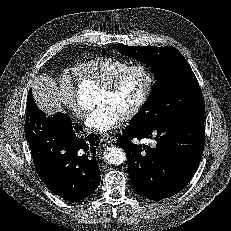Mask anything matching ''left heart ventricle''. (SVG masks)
<instances>
[{
	"instance_id": "1",
	"label": "left heart ventricle",
	"mask_w": 231,
	"mask_h": 231,
	"mask_svg": "<svg viewBox=\"0 0 231 231\" xmlns=\"http://www.w3.org/2000/svg\"><path fill=\"white\" fill-rule=\"evenodd\" d=\"M145 86V76L141 71L128 73L113 92L100 90L98 104L111 102L125 112L141 95Z\"/></svg>"
}]
</instances>
